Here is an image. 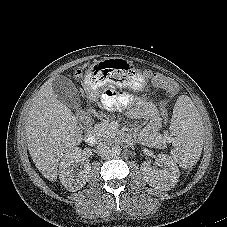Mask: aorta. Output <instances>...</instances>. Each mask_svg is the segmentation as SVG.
Wrapping results in <instances>:
<instances>
[{
    "mask_svg": "<svg viewBox=\"0 0 227 227\" xmlns=\"http://www.w3.org/2000/svg\"><path fill=\"white\" fill-rule=\"evenodd\" d=\"M121 150H122V149H121L120 146H118V145L113 146L112 149H111V155H112V156H118V155H120Z\"/></svg>",
    "mask_w": 227,
    "mask_h": 227,
    "instance_id": "aorta-1",
    "label": "aorta"
}]
</instances>
